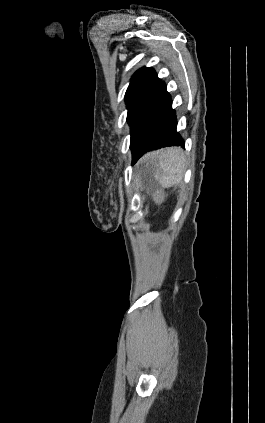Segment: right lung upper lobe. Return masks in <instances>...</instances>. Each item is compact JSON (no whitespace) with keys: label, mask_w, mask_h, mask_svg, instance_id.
Segmentation results:
<instances>
[{"label":"right lung upper lobe","mask_w":265,"mask_h":423,"mask_svg":"<svg viewBox=\"0 0 265 423\" xmlns=\"http://www.w3.org/2000/svg\"><path fill=\"white\" fill-rule=\"evenodd\" d=\"M161 83L152 68H141L131 78L125 98L136 96H148Z\"/></svg>","instance_id":"cb5924a9"}]
</instances>
